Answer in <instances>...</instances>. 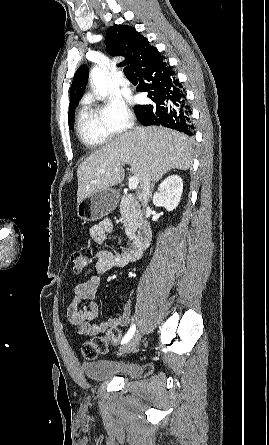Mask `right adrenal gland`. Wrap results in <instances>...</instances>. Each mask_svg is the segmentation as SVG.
I'll return each instance as SVG.
<instances>
[{"label": "right adrenal gland", "mask_w": 269, "mask_h": 445, "mask_svg": "<svg viewBox=\"0 0 269 445\" xmlns=\"http://www.w3.org/2000/svg\"><path fill=\"white\" fill-rule=\"evenodd\" d=\"M158 181H159V179L156 180V181H154V182L152 183V185H151V190H150V197H152L153 189H154L155 183L158 182Z\"/></svg>", "instance_id": "right-adrenal-gland-1"}]
</instances>
